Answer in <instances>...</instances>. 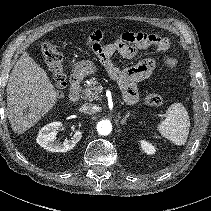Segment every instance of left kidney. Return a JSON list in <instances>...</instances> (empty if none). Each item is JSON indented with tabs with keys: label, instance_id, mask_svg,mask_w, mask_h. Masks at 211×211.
Returning a JSON list of instances; mask_svg holds the SVG:
<instances>
[{
	"label": "left kidney",
	"instance_id": "left-kidney-1",
	"mask_svg": "<svg viewBox=\"0 0 211 211\" xmlns=\"http://www.w3.org/2000/svg\"><path fill=\"white\" fill-rule=\"evenodd\" d=\"M140 143H141V147L145 153H147L148 155L155 153L156 148L154 146H152L150 143H148L145 140H141Z\"/></svg>",
	"mask_w": 211,
	"mask_h": 211
}]
</instances>
